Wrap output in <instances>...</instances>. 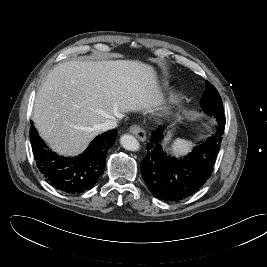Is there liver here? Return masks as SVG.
Listing matches in <instances>:
<instances>
[{
    "instance_id": "liver-1",
    "label": "liver",
    "mask_w": 267,
    "mask_h": 267,
    "mask_svg": "<svg viewBox=\"0 0 267 267\" xmlns=\"http://www.w3.org/2000/svg\"><path fill=\"white\" fill-rule=\"evenodd\" d=\"M162 103L152 66L133 60L68 61L54 67L38 90L33 117L56 152L76 155L107 119L154 112Z\"/></svg>"
}]
</instances>
